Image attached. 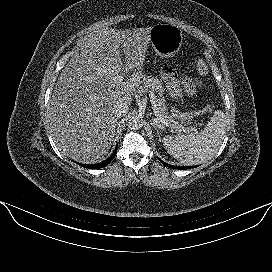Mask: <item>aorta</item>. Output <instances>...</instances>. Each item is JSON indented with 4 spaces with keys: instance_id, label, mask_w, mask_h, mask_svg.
Segmentation results:
<instances>
[{
    "instance_id": "762f6f07",
    "label": "aorta",
    "mask_w": 272,
    "mask_h": 272,
    "mask_svg": "<svg viewBox=\"0 0 272 272\" xmlns=\"http://www.w3.org/2000/svg\"><path fill=\"white\" fill-rule=\"evenodd\" d=\"M128 128L131 130H138L143 126V119L140 116H131L127 123Z\"/></svg>"
}]
</instances>
